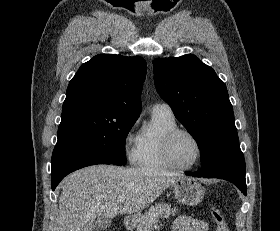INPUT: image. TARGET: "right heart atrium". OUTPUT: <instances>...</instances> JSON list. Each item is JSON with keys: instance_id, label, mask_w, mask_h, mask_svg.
Listing matches in <instances>:
<instances>
[{"instance_id": "right-heart-atrium-1", "label": "right heart atrium", "mask_w": 280, "mask_h": 231, "mask_svg": "<svg viewBox=\"0 0 280 231\" xmlns=\"http://www.w3.org/2000/svg\"><path fill=\"white\" fill-rule=\"evenodd\" d=\"M135 124L126 131L123 137V147L129 162L137 163L140 147V135L135 133Z\"/></svg>"}]
</instances>
